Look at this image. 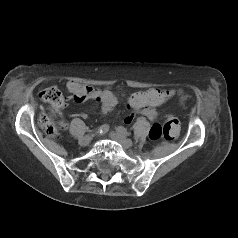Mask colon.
Returning <instances> with one entry per match:
<instances>
[{
    "label": "colon",
    "mask_w": 238,
    "mask_h": 238,
    "mask_svg": "<svg viewBox=\"0 0 238 238\" xmlns=\"http://www.w3.org/2000/svg\"><path fill=\"white\" fill-rule=\"evenodd\" d=\"M39 97L54 108L61 107L64 104V96L60 89L56 86L44 88L40 91ZM144 115L148 119H153L156 117L157 112L153 108H148L145 110ZM40 123L48 135H58L57 128L49 121L46 116H42ZM179 128V121L174 117H169L163 125L154 124L151 127L149 138L151 140H158L163 137L167 140H172L178 136Z\"/></svg>",
    "instance_id": "5ec220e1"
}]
</instances>
